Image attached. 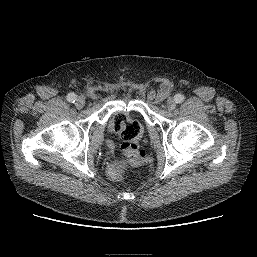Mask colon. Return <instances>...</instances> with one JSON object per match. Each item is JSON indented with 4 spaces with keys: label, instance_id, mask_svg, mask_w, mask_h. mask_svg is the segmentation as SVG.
Listing matches in <instances>:
<instances>
[{
    "label": "colon",
    "instance_id": "obj_1",
    "mask_svg": "<svg viewBox=\"0 0 257 257\" xmlns=\"http://www.w3.org/2000/svg\"><path fill=\"white\" fill-rule=\"evenodd\" d=\"M110 129L120 134L124 140L123 156L108 168V173L112 178H120L129 164L143 163L147 158V154L137 144L141 135V126L137 121L127 118L122 113H118L113 117Z\"/></svg>",
    "mask_w": 257,
    "mask_h": 257
}]
</instances>
